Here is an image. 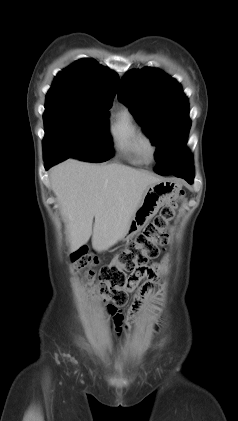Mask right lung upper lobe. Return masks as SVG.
Listing matches in <instances>:
<instances>
[{"mask_svg":"<svg viewBox=\"0 0 238 421\" xmlns=\"http://www.w3.org/2000/svg\"><path fill=\"white\" fill-rule=\"evenodd\" d=\"M119 77L94 59H81L59 72L48 94L112 103Z\"/></svg>","mask_w":238,"mask_h":421,"instance_id":"1","label":"right lung upper lobe"}]
</instances>
